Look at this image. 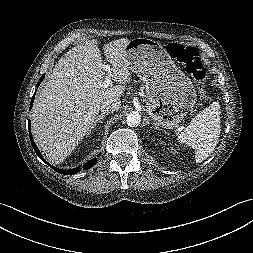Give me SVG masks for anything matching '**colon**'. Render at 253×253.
<instances>
[{"instance_id": "1", "label": "colon", "mask_w": 253, "mask_h": 253, "mask_svg": "<svg viewBox=\"0 0 253 253\" xmlns=\"http://www.w3.org/2000/svg\"><path fill=\"white\" fill-rule=\"evenodd\" d=\"M167 52L194 79L199 93L205 97L204 80L206 70L199 52L193 47L183 46L175 42L168 45Z\"/></svg>"}]
</instances>
